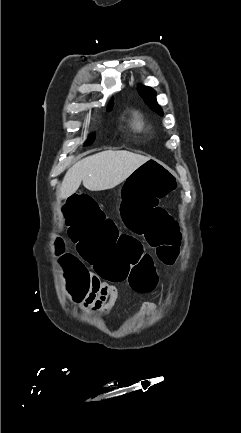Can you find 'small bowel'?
<instances>
[{"mask_svg": "<svg viewBox=\"0 0 241 433\" xmlns=\"http://www.w3.org/2000/svg\"><path fill=\"white\" fill-rule=\"evenodd\" d=\"M90 273L91 289L90 292H86L85 299L80 307L90 313L107 314L117 301L118 289L115 285L102 280L97 272L90 271ZM154 310L155 304L151 301H145L142 304L139 315L151 314Z\"/></svg>", "mask_w": 241, "mask_h": 433, "instance_id": "small-bowel-1", "label": "small bowel"}]
</instances>
